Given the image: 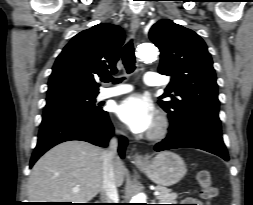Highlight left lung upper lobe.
<instances>
[{"label":"left lung upper lobe","instance_id":"obj_1","mask_svg":"<svg viewBox=\"0 0 253 205\" xmlns=\"http://www.w3.org/2000/svg\"><path fill=\"white\" fill-rule=\"evenodd\" d=\"M151 41L160 49L159 73L172 80L159 104L171 123L183 124L201 113L218 115L216 75L205 42L192 30L164 19L152 26ZM175 92L174 97L171 92Z\"/></svg>","mask_w":253,"mask_h":205}]
</instances>
